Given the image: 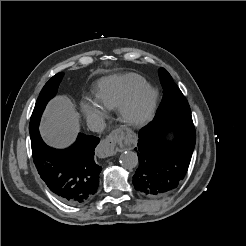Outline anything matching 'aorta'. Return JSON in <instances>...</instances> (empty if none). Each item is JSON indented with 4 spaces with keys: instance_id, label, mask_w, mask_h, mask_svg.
Wrapping results in <instances>:
<instances>
[{
    "instance_id": "1",
    "label": "aorta",
    "mask_w": 246,
    "mask_h": 246,
    "mask_svg": "<svg viewBox=\"0 0 246 246\" xmlns=\"http://www.w3.org/2000/svg\"><path fill=\"white\" fill-rule=\"evenodd\" d=\"M120 164L126 169H133L138 165V156L133 151H125L120 155Z\"/></svg>"
}]
</instances>
